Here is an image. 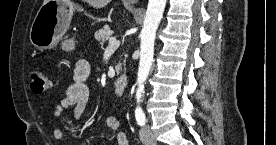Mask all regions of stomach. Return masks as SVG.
I'll return each mask as SVG.
<instances>
[{
	"label": "stomach",
	"instance_id": "0dacf381",
	"mask_svg": "<svg viewBox=\"0 0 276 145\" xmlns=\"http://www.w3.org/2000/svg\"><path fill=\"white\" fill-rule=\"evenodd\" d=\"M75 9L81 10L69 0H47L40 7L30 29V41L39 49H50L61 41L68 30ZM75 46L72 39L62 42V49Z\"/></svg>",
	"mask_w": 276,
	"mask_h": 145
}]
</instances>
